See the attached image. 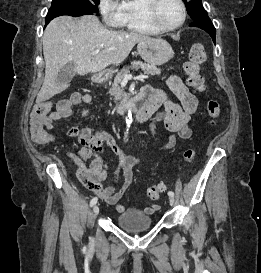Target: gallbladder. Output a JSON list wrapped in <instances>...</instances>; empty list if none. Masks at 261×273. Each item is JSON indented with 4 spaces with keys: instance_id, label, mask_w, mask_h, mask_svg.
I'll list each match as a JSON object with an SVG mask.
<instances>
[{
    "instance_id": "bac80fb5",
    "label": "gallbladder",
    "mask_w": 261,
    "mask_h": 273,
    "mask_svg": "<svg viewBox=\"0 0 261 273\" xmlns=\"http://www.w3.org/2000/svg\"><path fill=\"white\" fill-rule=\"evenodd\" d=\"M74 69L75 64L73 62L67 63L59 71L56 77V81L58 83H69L72 80V78L76 75Z\"/></svg>"
}]
</instances>
